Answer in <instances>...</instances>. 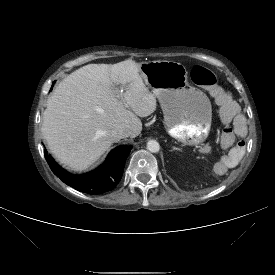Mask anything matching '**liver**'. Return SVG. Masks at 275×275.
<instances>
[{"instance_id":"liver-1","label":"liver","mask_w":275,"mask_h":275,"mask_svg":"<svg viewBox=\"0 0 275 275\" xmlns=\"http://www.w3.org/2000/svg\"><path fill=\"white\" fill-rule=\"evenodd\" d=\"M156 108L139 63L89 64L55 88L43 113L42 134L59 162L82 171L115 142L113 129L125 126L129 137L135 138L142 131L139 117Z\"/></svg>"}]
</instances>
